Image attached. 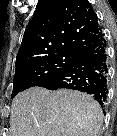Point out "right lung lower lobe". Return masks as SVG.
<instances>
[{"instance_id": "1", "label": "right lung lower lobe", "mask_w": 117, "mask_h": 136, "mask_svg": "<svg viewBox=\"0 0 117 136\" xmlns=\"http://www.w3.org/2000/svg\"><path fill=\"white\" fill-rule=\"evenodd\" d=\"M109 59L103 31L98 38L78 53L61 71L39 84L49 90L67 88L92 95L101 106L107 100Z\"/></svg>"}]
</instances>
